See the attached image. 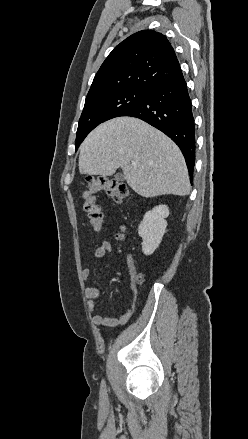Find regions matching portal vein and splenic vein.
Returning <instances> with one entry per match:
<instances>
[{"label":"portal vein and splenic vein","mask_w":248,"mask_h":439,"mask_svg":"<svg viewBox=\"0 0 248 439\" xmlns=\"http://www.w3.org/2000/svg\"><path fill=\"white\" fill-rule=\"evenodd\" d=\"M132 165H133V166H136V165H137V163H136V162H132Z\"/></svg>","instance_id":"obj_1"}]
</instances>
